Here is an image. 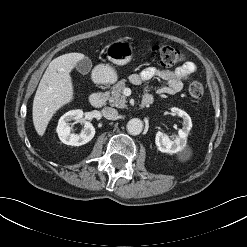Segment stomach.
Returning a JSON list of instances; mask_svg holds the SVG:
<instances>
[{"label": "stomach", "mask_w": 247, "mask_h": 247, "mask_svg": "<svg viewBox=\"0 0 247 247\" xmlns=\"http://www.w3.org/2000/svg\"><path fill=\"white\" fill-rule=\"evenodd\" d=\"M107 58L114 64L125 65L132 59V46L122 39L106 46ZM94 77L99 83H114L117 80L115 70L109 64H99L94 70Z\"/></svg>", "instance_id": "0dacf381"}]
</instances>
